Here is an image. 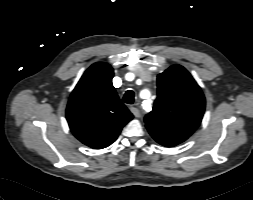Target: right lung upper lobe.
Returning a JSON list of instances; mask_svg holds the SVG:
<instances>
[{
    "label": "right lung upper lobe",
    "mask_w": 253,
    "mask_h": 200,
    "mask_svg": "<svg viewBox=\"0 0 253 200\" xmlns=\"http://www.w3.org/2000/svg\"><path fill=\"white\" fill-rule=\"evenodd\" d=\"M113 69L104 62L89 67L71 93L66 118L83 144L102 149L111 145L133 115L112 84Z\"/></svg>",
    "instance_id": "obj_1"
}]
</instances>
